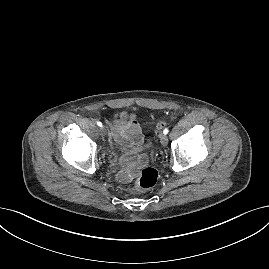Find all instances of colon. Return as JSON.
I'll return each instance as SVG.
<instances>
[{
  "label": "colon",
  "instance_id": "5ec220e1",
  "mask_svg": "<svg viewBox=\"0 0 269 269\" xmlns=\"http://www.w3.org/2000/svg\"><path fill=\"white\" fill-rule=\"evenodd\" d=\"M157 126L162 127L163 123L159 122ZM157 179H158V172L156 169L151 167L144 168L140 171L136 179L134 189L136 191L150 189L156 184Z\"/></svg>",
  "mask_w": 269,
  "mask_h": 269
}]
</instances>
